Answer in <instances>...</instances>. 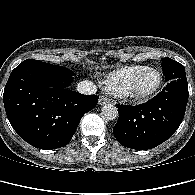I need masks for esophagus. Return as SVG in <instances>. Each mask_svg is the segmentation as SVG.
Wrapping results in <instances>:
<instances>
[{
  "instance_id": "1",
  "label": "esophagus",
  "mask_w": 195,
  "mask_h": 195,
  "mask_svg": "<svg viewBox=\"0 0 195 195\" xmlns=\"http://www.w3.org/2000/svg\"><path fill=\"white\" fill-rule=\"evenodd\" d=\"M110 102V99L105 97V96H100L99 97V101H98V104L99 105H104V104H107Z\"/></svg>"
}]
</instances>
